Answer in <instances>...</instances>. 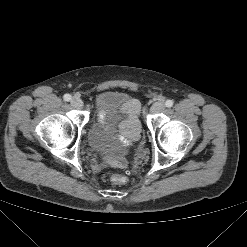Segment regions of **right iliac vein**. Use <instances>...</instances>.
Returning a JSON list of instances; mask_svg holds the SVG:
<instances>
[{"label": "right iliac vein", "mask_w": 247, "mask_h": 247, "mask_svg": "<svg viewBox=\"0 0 247 247\" xmlns=\"http://www.w3.org/2000/svg\"><path fill=\"white\" fill-rule=\"evenodd\" d=\"M71 104L76 108H81L83 106V101L79 97H73L71 99Z\"/></svg>", "instance_id": "obj_1"}]
</instances>
